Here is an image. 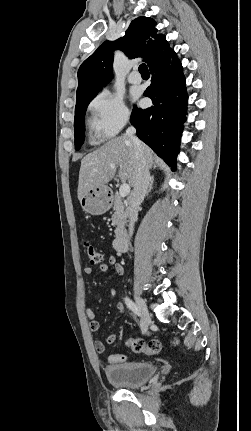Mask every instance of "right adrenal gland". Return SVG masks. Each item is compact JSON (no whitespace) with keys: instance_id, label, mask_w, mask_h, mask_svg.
Returning <instances> with one entry per match:
<instances>
[{"instance_id":"1","label":"right adrenal gland","mask_w":251,"mask_h":431,"mask_svg":"<svg viewBox=\"0 0 251 431\" xmlns=\"http://www.w3.org/2000/svg\"><path fill=\"white\" fill-rule=\"evenodd\" d=\"M153 184H154V176L152 175L150 177V183H149V187H148V190H147V196L151 192V190L153 189Z\"/></svg>"}]
</instances>
